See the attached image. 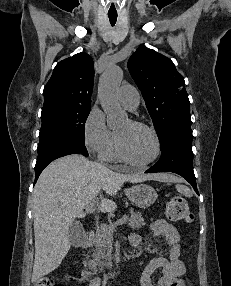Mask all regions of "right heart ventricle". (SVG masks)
<instances>
[{
	"label": "right heart ventricle",
	"mask_w": 231,
	"mask_h": 286,
	"mask_svg": "<svg viewBox=\"0 0 231 286\" xmlns=\"http://www.w3.org/2000/svg\"><path fill=\"white\" fill-rule=\"evenodd\" d=\"M100 158L104 161H107V162H114V161L119 160V158L115 152L114 142L106 151H104L100 155Z\"/></svg>",
	"instance_id": "right-heart-ventricle-1"
}]
</instances>
